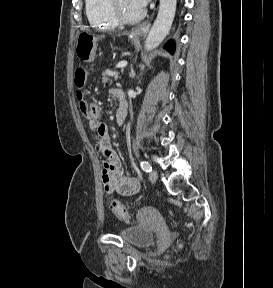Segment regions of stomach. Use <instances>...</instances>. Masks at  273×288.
I'll list each match as a JSON object with an SVG mask.
<instances>
[{
    "label": "stomach",
    "instance_id": "0dacf381",
    "mask_svg": "<svg viewBox=\"0 0 273 288\" xmlns=\"http://www.w3.org/2000/svg\"><path fill=\"white\" fill-rule=\"evenodd\" d=\"M97 38L88 33H81L78 37L75 53L83 61H89L93 58L96 50Z\"/></svg>",
    "mask_w": 273,
    "mask_h": 288
}]
</instances>
